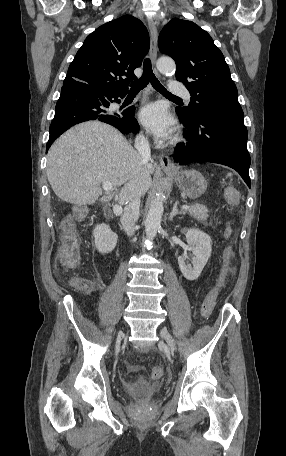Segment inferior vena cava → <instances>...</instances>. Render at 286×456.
<instances>
[{
    "instance_id": "obj_1",
    "label": "inferior vena cava",
    "mask_w": 286,
    "mask_h": 456,
    "mask_svg": "<svg viewBox=\"0 0 286 456\" xmlns=\"http://www.w3.org/2000/svg\"><path fill=\"white\" fill-rule=\"evenodd\" d=\"M135 148L141 155L142 162L146 163L150 159V146L148 139L144 135H138L135 139ZM140 193L135 189L134 195L126 202L120 221L124 231L128 236H132L134 225L139 216Z\"/></svg>"
}]
</instances>
